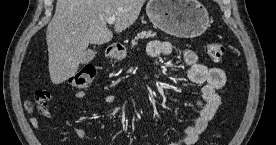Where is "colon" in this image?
Here are the masks:
<instances>
[{"label":"colon","mask_w":276,"mask_h":145,"mask_svg":"<svg viewBox=\"0 0 276 145\" xmlns=\"http://www.w3.org/2000/svg\"><path fill=\"white\" fill-rule=\"evenodd\" d=\"M204 48L206 54L214 62H220L225 54V46L219 42H208ZM95 75V67L93 65H85L69 78V84L76 88L88 87L93 82ZM49 101L50 96L48 92L36 90L32 99L27 103V107L30 110H36L41 114H45Z\"/></svg>","instance_id":"1"}]
</instances>
